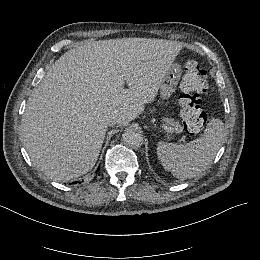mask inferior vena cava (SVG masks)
<instances>
[{
    "instance_id": "1",
    "label": "inferior vena cava",
    "mask_w": 260,
    "mask_h": 260,
    "mask_svg": "<svg viewBox=\"0 0 260 260\" xmlns=\"http://www.w3.org/2000/svg\"><path fill=\"white\" fill-rule=\"evenodd\" d=\"M106 123L108 126H113L117 123V117L114 114L108 115L106 118Z\"/></svg>"
}]
</instances>
